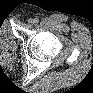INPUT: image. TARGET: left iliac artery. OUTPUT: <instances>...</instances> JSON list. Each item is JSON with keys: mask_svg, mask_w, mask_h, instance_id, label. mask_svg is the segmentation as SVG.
Instances as JSON below:
<instances>
[{"mask_svg": "<svg viewBox=\"0 0 93 93\" xmlns=\"http://www.w3.org/2000/svg\"><path fill=\"white\" fill-rule=\"evenodd\" d=\"M38 22H39V18H35L34 23H38Z\"/></svg>", "mask_w": 93, "mask_h": 93, "instance_id": "left-iliac-artery-1", "label": "left iliac artery"}]
</instances>
